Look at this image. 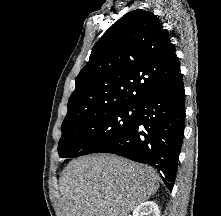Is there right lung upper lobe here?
<instances>
[{"label":"right lung upper lobe","instance_id":"1","mask_svg":"<svg viewBox=\"0 0 221 216\" xmlns=\"http://www.w3.org/2000/svg\"><path fill=\"white\" fill-rule=\"evenodd\" d=\"M179 71L173 44L156 16L133 10L94 45L62 124L110 107L138 106Z\"/></svg>","mask_w":221,"mask_h":216}]
</instances>
